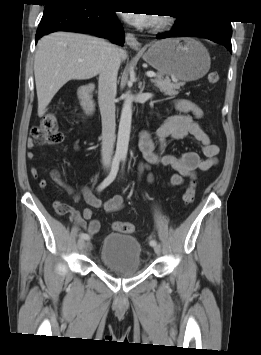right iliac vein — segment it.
<instances>
[{"mask_svg":"<svg viewBox=\"0 0 261 355\" xmlns=\"http://www.w3.org/2000/svg\"><path fill=\"white\" fill-rule=\"evenodd\" d=\"M89 246V243H86L83 239L78 240V247L81 250L87 249Z\"/></svg>","mask_w":261,"mask_h":355,"instance_id":"1","label":"right iliac vein"}]
</instances>
